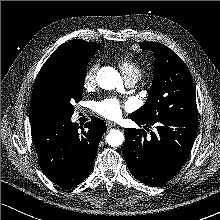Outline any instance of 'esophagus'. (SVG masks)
<instances>
[{
    "label": "esophagus",
    "instance_id": "esophagus-1",
    "mask_svg": "<svg viewBox=\"0 0 220 220\" xmlns=\"http://www.w3.org/2000/svg\"><path fill=\"white\" fill-rule=\"evenodd\" d=\"M106 125H107V127H108L109 129L116 126L115 123L110 122V121H107V122H106Z\"/></svg>",
    "mask_w": 220,
    "mask_h": 220
}]
</instances>
